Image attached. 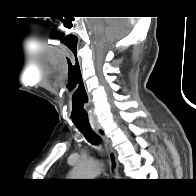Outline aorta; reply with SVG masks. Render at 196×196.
<instances>
[{"label": "aorta", "mask_w": 196, "mask_h": 196, "mask_svg": "<svg viewBox=\"0 0 196 196\" xmlns=\"http://www.w3.org/2000/svg\"><path fill=\"white\" fill-rule=\"evenodd\" d=\"M102 170L101 164L93 160H81L71 171L73 179H89L97 176Z\"/></svg>", "instance_id": "762f6f07"}]
</instances>
